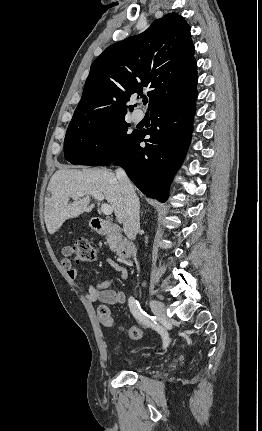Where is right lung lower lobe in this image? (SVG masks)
<instances>
[{"mask_svg":"<svg viewBox=\"0 0 262 431\" xmlns=\"http://www.w3.org/2000/svg\"><path fill=\"white\" fill-rule=\"evenodd\" d=\"M197 91L151 111L152 126L138 131L112 163L122 166L133 183L147 196L165 202L169 184L190 144ZM146 135L144 148L140 147Z\"/></svg>","mask_w":262,"mask_h":431,"instance_id":"obj_1","label":"right lung lower lobe"}]
</instances>
